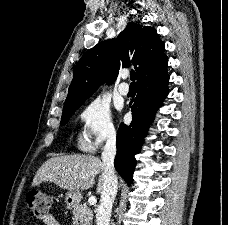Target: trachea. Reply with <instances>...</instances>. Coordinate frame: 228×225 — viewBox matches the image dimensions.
<instances>
[{
	"label": "trachea",
	"mask_w": 228,
	"mask_h": 225,
	"mask_svg": "<svg viewBox=\"0 0 228 225\" xmlns=\"http://www.w3.org/2000/svg\"><path fill=\"white\" fill-rule=\"evenodd\" d=\"M135 78H136V73L134 72V70H131L130 72V80H132L130 87H135Z\"/></svg>",
	"instance_id": "trachea-1"
}]
</instances>
